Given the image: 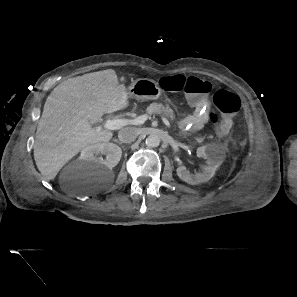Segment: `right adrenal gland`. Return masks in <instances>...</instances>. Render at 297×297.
Here are the masks:
<instances>
[{"label": "right adrenal gland", "mask_w": 297, "mask_h": 297, "mask_svg": "<svg viewBox=\"0 0 297 297\" xmlns=\"http://www.w3.org/2000/svg\"><path fill=\"white\" fill-rule=\"evenodd\" d=\"M115 142H117L119 145H122V143L119 141V140H117V139H113Z\"/></svg>", "instance_id": "right-adrenal-gland-1"}]
</instances>
